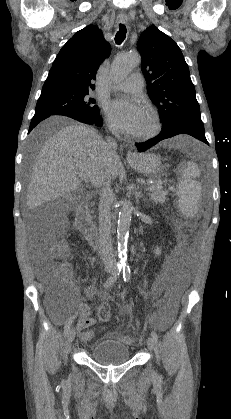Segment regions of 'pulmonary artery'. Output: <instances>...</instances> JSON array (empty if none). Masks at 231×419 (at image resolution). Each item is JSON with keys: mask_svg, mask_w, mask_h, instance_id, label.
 Here are the masks:
<instances>
[{"mask_svg": "<svg viewBox=\"0 0 231 419\" xmlns=\"http://www.w3.org/2000/svg\"><path fill=\"white\" fill-rule=\"evenodd\" d=\"M144 86V80L140 73L131 74L125 81H123L118 88L128 93H139Z\"/></svg>", "mask_w": 231, "mask_h": 419, "instance_id": "1", "label": "pulmonary artery"}]
</instances>
